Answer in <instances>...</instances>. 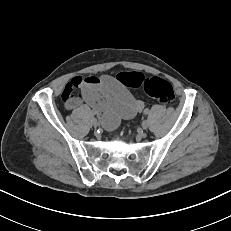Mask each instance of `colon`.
I'll return each mask as SVG.
<instances>
[{
  "label": "colon",
  "instance_id": "colon-1",
  "mask_svg": "<svg viewBox=\"0 0 231 231\" xmlns=\"http://www.w3.org/2000/svg\"><path fill=\"white\" fill-rule=\"evenodd\" d=\"M126 88H143L145 93L162 104H171L175 100L172 85L159 77L147 78L140 72H121L116 77Z\"/></svg>",
  "mask_w": 231,
  "mask_h": 231
}]
</instances>
